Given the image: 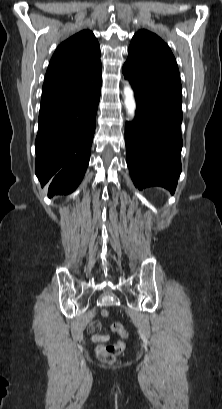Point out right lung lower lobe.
Segmentation results:
<instances>
[{
    "label": "right lung lower lobe",
    "instance_id": "obj_1",
    "mask_svg": "<svg viewBox=\"0 0 222 409\" xmlns=\"http://www.w3.org/2000/svg\"><path fill=\"white\" fill-rule=\"evenodd\" d=\"M75 94L41 101L35 173L48 194L72 193L85 174L101 92V72Z\"/></svg>",
    "mask_w": 222,
    "mask_h": 409
}]
</instances>
